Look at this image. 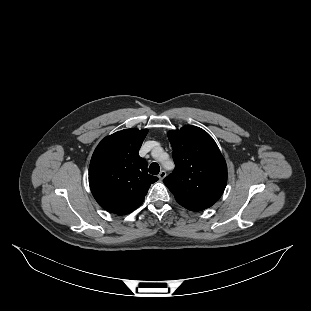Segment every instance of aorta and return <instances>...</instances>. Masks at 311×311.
I'll return each mask as SVG.
<instances>
[{
  "mask_svg": "<svg viewBox=\"0 0 311 311\" xmlns=\"http://www.w3.org/2000/svg\"><path fill=\"white\" fill-rule=\"evenodd\" d=\"M153 151H155V152L158 151V156H157V157H156L155 155H153ZM153 151H152V156H153L154 158H156V159H159V160H160L161 156H163V155H167V156H168V154L165 153V152L163 151L162 147H158V148H156V149L153 150Z\"/></svg>",
  "mask_w": 311,
  "mask_h": 311,
  "instance_id": "1",
  "label": "aorta"
}]
</instances>
